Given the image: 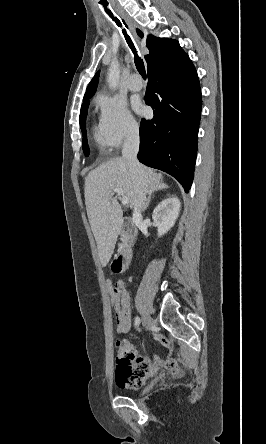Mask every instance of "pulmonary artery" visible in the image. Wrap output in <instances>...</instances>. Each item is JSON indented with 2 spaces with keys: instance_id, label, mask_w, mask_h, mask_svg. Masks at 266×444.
Masks as SVG:
<instances>
[{
  "instance_id": "1",
  "label": "pulmonary artery",
  "mask_w": 266,
  "mask_h": 444,
  "mask_svg": "<svg viewBox=\"0 0 266 444\" xmlns=\"http://www.w3.org/2000/svg\"><path fill=\"white\" fill-rule=\"evenodd\" d=\"M128 87L132 91H140L143 88V83L138 74H132L128 82Z\"/></svg>"
}]
</instances>
